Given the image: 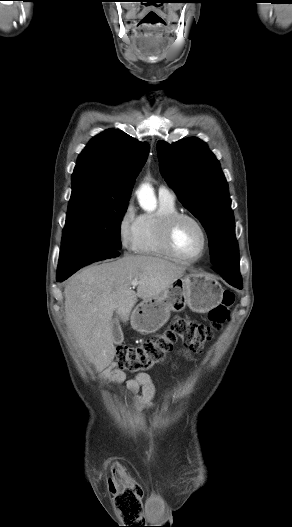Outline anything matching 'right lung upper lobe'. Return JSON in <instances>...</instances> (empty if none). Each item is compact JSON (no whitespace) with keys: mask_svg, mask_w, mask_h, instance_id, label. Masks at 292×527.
Listing matches in <instances>:
<instances>
[{"mask_svg":"<svg viewBox=\"0 0 292 527\" xmlns=\"http://www.w3.org/2000/svg\"><path fill=\"white\" fill-rule=\"evenodd\" d=\"M149 149L147 142H139L122 131H104L91 139L79 155L72 188L98 190L117 199L130 198Z\"/></svg>","mask_w":292,"mask_h":527,"instance_id":"obj_1","label":"right lung upper lobe"}]
</instances>
